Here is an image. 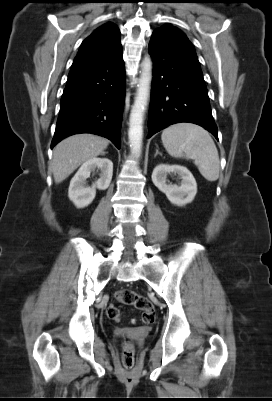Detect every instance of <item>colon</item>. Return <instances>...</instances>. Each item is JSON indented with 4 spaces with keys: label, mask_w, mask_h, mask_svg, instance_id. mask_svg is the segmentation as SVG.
<instances>
[{
    "label": "colon",
    "mask_w": 272,
    "mask_h": 401,
    "mask_svg": "<svg viewBox=\"0 0 272 401\" xmlns=\"http://www.w3.org/2000/svg\"><path fill=\"white\" fill-rule=\"evenodd\" d=\"M116 300L124 305H131L142 312L141 320L144 324H152L155 321L156 313L152 303L140 294L131 289H121L115 294ZM108 316L113 320H119L121 313L115 306H110L107 310ZM122 365L126 370H131L134 366L135 348L129 339H125L121 347Z\"/></svg>",
    "instance_id": "obj_1"
}]
</instances>
